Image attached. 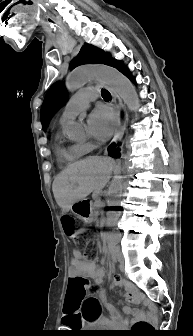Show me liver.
Wrapping results in <instances>:
<instances>
[{
	"instance_id": "liver-1",
	"label": "liver",
	"mask_w": 193,
	"mask_h": 336,
	"mask_svg": "<svg viewBox=\"0 0 193 336\" xmlns=\"http://www.w3.org/2000/svg\"><path fill=\"white\" fill-rule=\"evenodd\" d=\"M114 169L111 158L90 156L71 164L58 174L53 182L54 198L64 212L73 203L85 199L90 193H100Z\"/></svg>"
}]
</instances>
